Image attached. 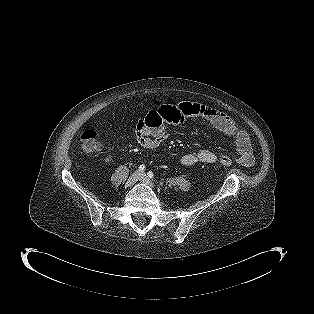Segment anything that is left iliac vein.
I'll return each mask as SVG.
<instances>
[{
	"mask_svg": "<svg viewBox=\"0 0 314 314\" xmlns=\"http://www.w3.org/2000/svg\"><path fill=\"white\" fill-rule=\"evenodd\" d=\"M139 181H141L142 183H144L150 187H154L153 183L151 182V180L147 177V175L144 172L139 174Z\"/></svg>",
	"mask_w": 314,
	"mask_h": 314,
	"instance_id": "obj_1",
	"label": "left iliac vein"
}]
</instances>
